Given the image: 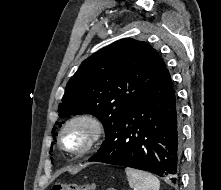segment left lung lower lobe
<instances>
[{"mask_svg":"<svg viewBox=\"0 0 221 190\" xmlns=\"http://www.w3.org/2000/svg\"><path fill=\"white\" fill-rule=\"evenodd\" d=\"M181 159L179 108L168 69L106 134L88 161L155 173L175 182Z\"/></svg>","mask_w":221,"mask_h":190,"instance_id":"left-lung-lower-lobe-1","label":"left lung lower lobe"}]
</instances>
